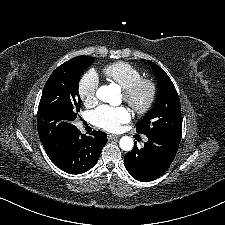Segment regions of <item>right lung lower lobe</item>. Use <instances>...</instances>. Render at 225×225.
Wrapping results in <instances>:
<instances>
[{
  "instance_id": "98d812e1",
  "label": "right lung lower lobe",
  "mask_w": 225,
  "mask_h": 225,
  "mask_svg": "<svg viewBox=\"0 0 225 225\" xmlns=\"http://www.w3.org/2000/svg\"><path fill=\"white\" fill-rule=\"evenodd\" d=\"M91 136H83L79 129L66 135L60 143L47 151L52 162L70 174H81L90 170L107 143V135L93 131Z\"/></svg>"
}]
</instances>
